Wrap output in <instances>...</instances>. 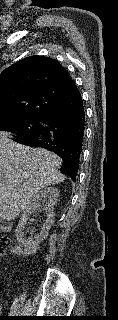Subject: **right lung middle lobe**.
<instances>
[{"label": "right lung middle lobe", "instance_id": "right-lung-middle-lobe-1", "mask_svg": "<svg viewBox=\"0 0 118 320\" xmlns=\"http://www.w3.org/2000/svg\"><path fill=\"white\" fill-rule=\"evenodd\" d=\"M42 118L23 117V118H3L0 119V131L11 132L16 137L15 140L32 135L41 129L39 122Z\"/></svg>", "mask_w": 118, "mask_h": 320}]
</instances>
